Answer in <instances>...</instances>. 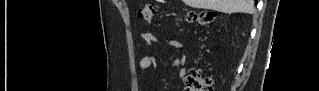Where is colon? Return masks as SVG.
<instances>
[{"label":"colon","instance_id":"colon-1","mask_svg":"<svg viewBox=\"0 0 319 91\" xmlns=\"http://www.w3.org/2000/svg\"><path fill=\"white\" fill-rule=\"evenodd\" d=\"M156 14L157 5L154 3H147L137 11L138 19L147 24H153L155 22ZM186 20L190 24L204 26L213 22L214 14L211 12H191L186 16ZM212 85V80L202 75L199 70L190 71L185 78V89L187 91H212Z\"/></svg>","mask_w":319,"mask_h":91}]
</instances>
